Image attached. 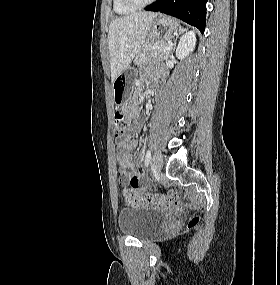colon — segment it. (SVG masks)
I'll return each mask as SVG.
<instances>
[{
  "label": "colon",
  "instance_id": "5ec220e1",
  "mask_svg": "<svg viewBox=\"0 0 280 285\" xmlns=\"http://www.w3.org/2000/svg\"><path fill=\"white\" fill-rule=\"evenodd\" d=\"M132 119L124 113L117 111L113 119V131L117 139H120L124 133L131 127ZM123 196L128 204H154L158 206H171L176 204L179 199V194L176 191H171L167 194H150V193H138L135 190L129 188L123 191ZM200 219L193 217L189 226L194 227L198 225Z\"/></svg>",
  "mask_w": 280,
  "mask_h": 285
}]
</instances>
